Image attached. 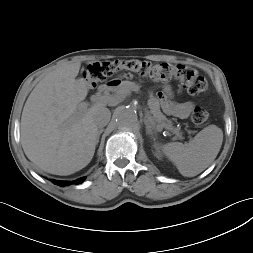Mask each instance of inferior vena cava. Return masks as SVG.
Instances as JSON below:
<instances>
[{"instance_id": "obj_1", "label": "inferior vena cava", "mask_w": 253, "mask_h": 253, "mask_svg": "<svg viewBox=\"0 0 253 253\" xmlns=\"http://www.w3.org/2000/svg\"><path fill=\"white\" fill-rule=\"evenodd\" d=\"M110 117V110L107 108H102L96 113L94 121L99 128H102L109 123Z\"/></svg>"}]
</instances>
